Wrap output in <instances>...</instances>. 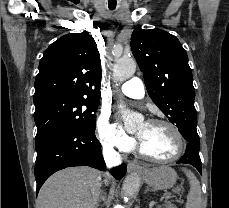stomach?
Returning <instances> with one entry per match:
<instances>
[{
    "label": "stomach",
    "mask_w": 229,
    "mask_h": 208,
    "mask_svg": "<svg viewBox=\"0 0 229 208\" xmlns=\"http://www.w3.org/2000/svg\"><path fill=\"white\" fill-rule=\"evenodd\" d=\"M143 182L155 190H168L173 188L177 174L169 166H158V168H143L139 170ZM173 192H180V188H175Z\"/></svg>",
    "instance_id": "obj_1"
}]
</instances>
